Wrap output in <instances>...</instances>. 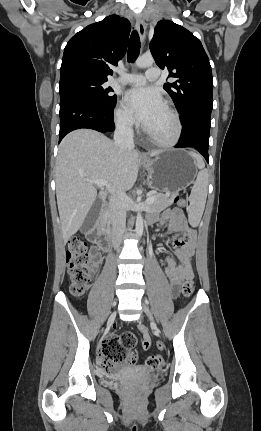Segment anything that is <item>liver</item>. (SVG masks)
Instances as JSON below:
<instances>
[{
    "label": "liver",
    "instance_id": "liver-1",
    "mask_svg": "<svg viewBox=\"0 0 261 431\" xmlns=\"http://www.w3.org/2000/svg\"><path fill=\"white\" fill-rule=\"evenodd\" d=\"M159 153L152 151L150 156ZM137 176V151L120 149L91 129H78L64 137L56 163V197L64 244L80 229L98 195L89 181L106 180L118 192L131 189ZM106 194L101 191L99 196L105 198Z\"/></svg>",
    "mask_w": 261,
    "mask_h": 431
}]
</instances>
